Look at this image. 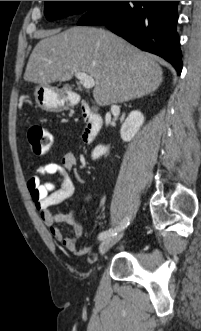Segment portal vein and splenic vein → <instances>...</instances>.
Returning <instances> with one entry per match:
<instances>
[{"mask_svg": "<svg viewBox=\"0 0 201 331\" xmlns=\"http://www.w3.org/2000/svg\"><path fill=\"white\" fill-rule=\"evenodd\" d=\"M75 76L78 80H80L81 84L85 89H90L95 86L94 79L91 76H89L87 73L78 72L75 74Z\"/></svg>", "mask_w": 201, "mask_h": 331, "instance_id": "18ae733b", "label": "portal vein and splenic vein"}]
</instances>
